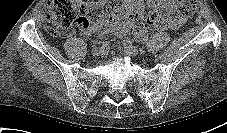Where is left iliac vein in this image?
<instances>
[{"label": "left iliac vein", "mask_w": 227, "mask_h": 133, "mask_svg": "<svg viewBox=\"0 0 227 133\" xmlns=\"http://www.w3.org/2000/svg\"><path fill=\"white\" fill-rule=\"evenodd\" d=\"M123 51L132 56H137L139 54V50L135 46L125 43L123 44Z\"/></svg>", "instance_id": "left-iliac-vein-1"}]
</instances>
